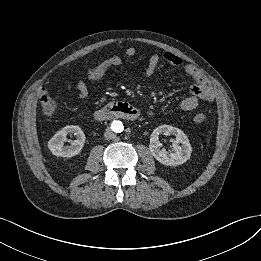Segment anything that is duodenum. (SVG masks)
<instances>
[{
	"label": "duodenum",
	"instance_id": "410a0bca",
	"mask_svg": "<svg viewBox=\"0 0 261 261\" xmlns=\"http://www.w3.org/2000/svg\"><path fill=\"white\" fill-rule=\"evenodd\" d=\"M139 112L131 104L126 102H116L103 109L94 112L93 116L99 121L129 119L134 120L138 117Z\"/></svg>",
	"mask_w": 261,
	"mask_h": 261
}]
</instances>
